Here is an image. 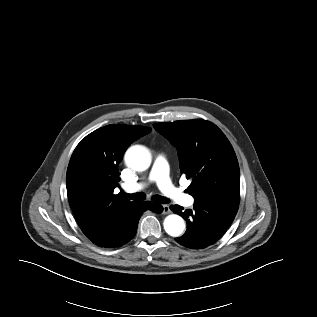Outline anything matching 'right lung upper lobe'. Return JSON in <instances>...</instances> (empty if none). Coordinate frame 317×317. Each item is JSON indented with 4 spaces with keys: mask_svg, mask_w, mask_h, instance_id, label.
<instances>
[{
    "mask_svg": "<svg viewBox=\"0 0 317 317\" xmlns=\"http://www.w3.org/2000/svg\"><path fill=\"white\" fill-rule=\"evenodd\" d=\"M150 128L112 124L87 135L70 159L66 187L76 219L98 212L111 218L134 202L113 191L119 186L118 164L127 147Z\"/></svg>",
    "mask_w": 317,
    "mask_h": 317,
    "instance_id": "cb5924a9",
    "label": "right lung upper lobe"
}]
</instances>
